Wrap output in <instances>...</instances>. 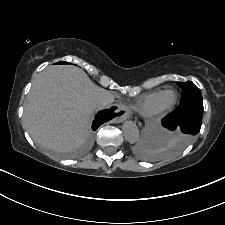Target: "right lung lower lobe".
<instances>
[{"instance_id":"98d812e1","label":"right lung lower lobe","mask_w":225,"mask_h":225,"mask_svg":"<svg viewBox=\"0 0 225 225\" xmlns=\"http://www.w3.org/2000/svg\"><path fill=\"white\" fill-rule=\"evenodd\" d=\"M116 116V113H114V107L107 110L100 111L96 116L95 120L93 121L92 128L93 130H96L102 123L108 121L109 119H112Z\"/></svg>"}]
</instances>
